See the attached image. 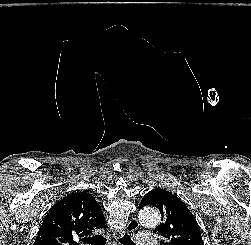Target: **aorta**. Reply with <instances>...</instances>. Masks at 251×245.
I'll list each match as a JSON object with an SVG mask.
<instances>
[{
    "label": "aorta",
    "mask_w": 251,
    "mask_h": 245,
    "mask_svg": "<svg viewBox=\"0 0 251 245\" xmlns=\"http://www.w3.org/2000/svg\"><path fill=\"white\" fill-rule=\"evenodd\" d=\"M140 219L143 225L147 227H155L160 221V216L157 209L147 207L140 211Z\"/></svg>",
    "instance_id": "aorta-1"
}]
</instances>
